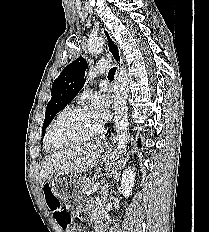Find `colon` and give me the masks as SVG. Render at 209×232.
<instances>
[{
    "mask_svg": "<svg viewBox=\"0 0 209 232\" xmlns=\"http://www.w3.org/2000/svg\"><path fill=\"white\" fill-rule=\"evenodd\" d=\"M45 196L48 207L53 213V217L56 221V226L66 228L72 221L70 210L67 206H64L55 197L50 188H45Z\"/></svg>",
    "mask_w": 209,
    "mask_h": 232,
    "instance_id": "obj_1",
    "label": "colon"
}]
</instances>
